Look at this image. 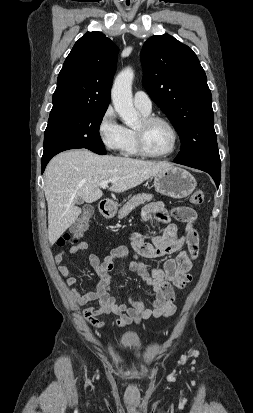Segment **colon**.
Returning a JSON list of instances; mask_svg holds the SVG:
<instances>
[{
	"label": "colon",
	"instance_id": "5ec220e1",
	"mask_svg": "<svg viewBox=\"0 0 253 413\" xmlns=\"http://www.w3.org/2000/svg\"><path fill=\"white\" fill-rule=\"evenodd\" d=\"M204 201V192L201 189L195 190L190 196V202L195 206H200ZM93 213L91 206L86 205L81 216L77 219L70 233L64 235L58 241L59 246H63L68 242H77L88 229L89 222Z\"/></svg>",
	"mask_w": 253,
	"mask_h": 413
}]
</instances>
